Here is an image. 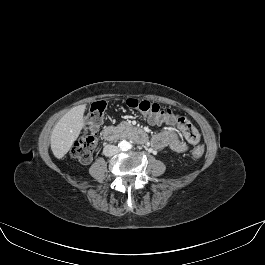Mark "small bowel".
Wrapping results in <instances>:
<instances>
[{"mask_svg": "<svg viewBox=\"0 0 265 265\" xmlns=\"http://www.w3.org/2000/svg\"><path fill=\"white\" fill-rule=\"evenodd\" d=\"M147 121L153 125L168 127L152 138L151 145L156 150L170 148L174 152L183 153L200 141L199 132L185 117L173 115L158 118L148 115Z\"/></svg>", "mask_w": 265, "mask_h": 265, "instance_id": "1", "label": "small bowel"}]
</instances>
